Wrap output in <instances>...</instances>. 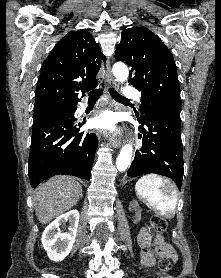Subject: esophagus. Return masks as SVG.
I'll return each instance as SVG.
<instances>
[{"instance_id": "34e87169", "label": "esophagus", "mask_w": 221, "mask_h": 278, "mask_svg": "<svg viewBox=\"0 0 221 278\" xmlns=\"http://www.w3.org/2000/svg\"><path fill=\"white\" fill-rule=\"evenodd\" d=\"M106 81H107V86L108 87L117 88V83H116L115 79L113 78V76L111 74V65H110L109 60L106 63ZM110 105L113 109H115V110L118 109L117 103H115L112 100L110 101ZM109 142H110V145L113 148H119L122 144V137L120 135H115L114 134L109 138Z\"/></svg>"}]
</instances>
